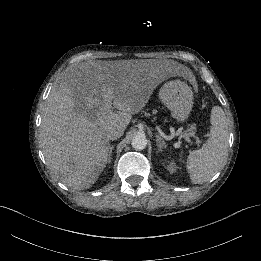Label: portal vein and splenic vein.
Masks as SVG:
<instances>
[{
    "label": "portal vein and splenic vein",
    "instance_id": "obj_1",
    "mask_svg": "<svg viewBox=\"0 0 261 261\" xmlns=\"http://www.w3.org/2000/svg\"><path fill=\"white\" fill-rule=\"evenodd\" d=\"M180 138H181V140H180L179 142L174 143V146H175L176 148H179L181 145H183V144L185 143V140L188 141V143L190 144V146L193 145V142L191 141V139H190L187 135L181 134V135H180ZM175 140H178V137H175Z\"/></svg>",
    "mask_w": 261,
    "mask_h": 261
}]
</instances>
